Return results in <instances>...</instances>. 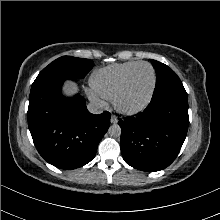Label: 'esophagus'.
Returning <instances> with one entry per match:
<instances>
[{
	"label": "esophagus",
	"instance_id": "34e87169",
	"mask_svg": "<svg viewBox=\"0 0 220 220\" xmlns=\"http://www.w3.org/2000/svg\"><path fill=\"white\" fill-rule=\"evenodd\" d=\"M110 121L111 123L116 124L118 122V118L115 115H112Z\"/></svg>",
	"mask_w": 220,
	"mask_h": 220
}]
</instances>
